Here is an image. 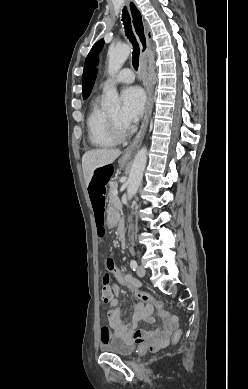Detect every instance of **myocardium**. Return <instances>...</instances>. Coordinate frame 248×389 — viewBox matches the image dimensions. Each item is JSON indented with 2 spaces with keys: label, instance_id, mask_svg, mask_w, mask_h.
<instances>
[{
  "label": "myocardium",
  "instance_id": "myocardium-1",
  "mask_svg": "<svg viewBox=\"0 0 248 389\" xmlns=\"http://www.w3.org/2000/svg\"><path fill=\"white\" fill-rule=\"evenodd\" d=\"M109 131L116 141H122L126 138L127 133L123 126L108 114Z\"/></svg>",
  "mask_w": 248,
  "mask_h": 389
}]
</instances>
